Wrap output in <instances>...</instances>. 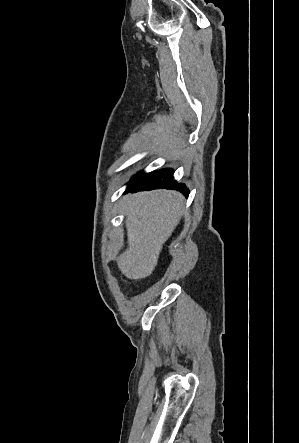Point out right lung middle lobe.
<instances>
[{
    "mask_svg": "<svg viewBox=\"0 0 299 443\" xmlns=\"http://www.w3.org/2000/svg\"><path fill=\"white\" fill-rule=\"evenodd\" d=\"M144 175H146V174L143 173V172H140L139 174L135 175V176L132 178V180H131L130 183L135 182L136 180L140 179V178L143 177Z\"/></svg>",
    "mask_w": 299,
    "mask_h": 443,
    "instance_id": "1",
    "label": "right lung middle lobe"
}]
</instances>
